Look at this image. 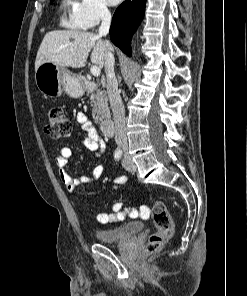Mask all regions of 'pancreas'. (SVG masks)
<instances>
[{
  "mask_svg": "<svg viewBox=\"0 0 247 296\" xmlns=\"http://www.w3.org/2000/svg\"><path fill=\"white\" fill-rule=\"evenodd\" d=\"M89 93L90 100L93 103L92 117L95 123H101L105 118L110 117L106 92L104 90L96 89Z\"/></svg>",
  "mask_w": 247,
  "mask_h": 296,
  "instance_id": "pancreas-1",
  "label": "pancreas"
}]
</instances>
